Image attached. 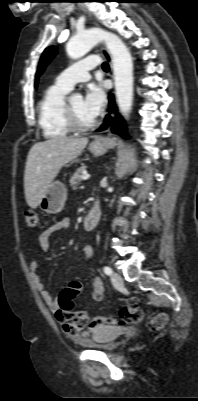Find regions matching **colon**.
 <instances>
[{"instance_id": "colon-1", "label": "colon", "mask_w": 198, "mask_h": 401, "mask_svg": "<svg viewBox=\"0 0 198 401\" xmlns=\"http://www.w3.org/2000/svg\"><path fill=\"white\" fill-rule=\"evenodd\" d=\"M23 218L26 227L37 228L39 226L38 214L33 210H24ZM76 283L72 282L65 288L59 297V304L63 311L77 316L78 323L81 327L86 326L90 321L84 312L78 311L73 303L75 297ZM143 319V312L140 309V301L137 297H132L126 301L122 306L119 317L113 318L109 316L96 317L95 321L98 325L102 326H116V325H130L139 323ZM167 322V316L163 313L156 315L151 323L150 328L153 330L162 329Z\"/></svg>"}]
</instances>
